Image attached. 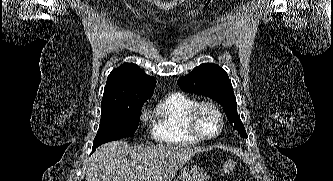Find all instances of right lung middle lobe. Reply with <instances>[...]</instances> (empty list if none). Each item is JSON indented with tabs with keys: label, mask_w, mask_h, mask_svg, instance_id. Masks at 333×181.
Here are the masks:
<instances>
[{
	"label": "right lung middle lobe",
	"mask_w": 333,
	"mask_h": 181,
	"mask_svg": "<svg viewBox=\"0 0 333 181\" xmlns=\"http://www.w3.org/2000/svg\"><path fill=\"white\" fill-rule=\"evenodd\" d=\"M143 104L144 102H137L102 110L100 126L93 142L92 152L103 143L134 136L139 125Z\"/></svg>",
	"instance_id": "dd1d6c3e"
}]
</instances>
